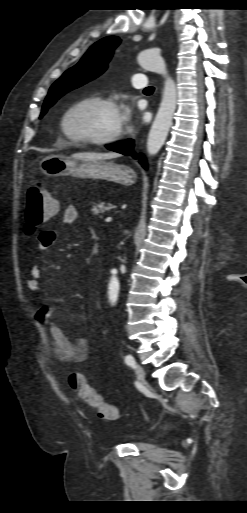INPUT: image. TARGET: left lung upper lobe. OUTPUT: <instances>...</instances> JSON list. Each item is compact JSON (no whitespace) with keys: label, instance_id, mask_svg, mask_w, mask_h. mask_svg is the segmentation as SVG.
I'll return each instance as SVG.
<instances>
[{"label":"left lung upper lobe","instance_id":"5c2ea615","mask_svg":"<svg viewBox=\"0 0 247 513\" xmlns=\"http://www.w3.org/2000/svg\"><path fill=\"white\" fill-rule=\"evenodd\" d=\"M120 41L117 36H108L93 44L82 59L51 86L40 118L61 96L102 74Z\"/></svg>","mask_w":247,"mask_h":513}]
</instances>
